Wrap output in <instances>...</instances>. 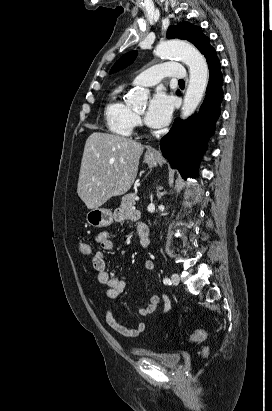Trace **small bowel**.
<instances>
[{
    "instance_id": "small-bowel-1",
    "label": "small bowel",
    "mask_w": 272,
    "mask_h": 411,
    "mask_svg": "<svg viewBox=\"0 0 272 411\" xmlns=\"http://www.w3.org/2000/svg\"><path fill=\"white\" fill-rule=\"evenodd\" d=\"M139 218V213L132 209H121L115 214V220L118 222L136 221ZM95 241L106 251L114 249V242L110 238L108 231H101L95 236ZM93 267L97 273V280L105 286V295L108 298H117L125 289V280L114 273H110L107 269V263L103 256L99 253L92 258ZM143 267L146 271L154 269V263L151 260H145ZM164 303L162 315L173 310V305L169 297L165 293L151 295L148 298V303L136 309V314L139 317H145L154 313ZM105 321L107 325L116 333L124 337H137L146 330V324L142 321L138 322L134 328H128L120 324L114 317L111 309L105 312Z\"/></svg>"
}]
</instances>
